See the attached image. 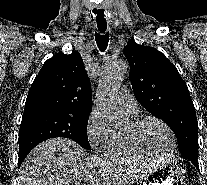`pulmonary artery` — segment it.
I'll return each mask as SVG.
<instances>
[{"mask_svg": "<svg viewBox=\"0 0 207 185\" xmlns=\"http://www.w3.org/2000/svg\"><path fill=\"white\" fill-rule=\"evenodd\" d=\"M102 74V73H101ZM120 93L118 94L119 103L131 114H135L137 112V103L134 97L126 92L128 90L127 86L121 87Z\"/></svg>", "mask_w": 207, "mask_h": 185, "instance_id": "e3ab8cb5", "label": "pulmonary artery"}]
</instances>
